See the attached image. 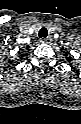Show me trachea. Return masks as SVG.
Segmentation results:
<instances>
[{
	"label": "trachea",
	"instance_id": "1",
	"mask_svg": "<svg viewBox=\"0 0 81 124\" xmlns=\"http://www.w3.org/2000/svg\"><path fill=\"white\" fill-rule=\"evenodd\" d=\"M48 35V31L46 28H41L40 31H39V37L40 38H46Z\"/></svg>",
	"mask_w": 81,
	"mask_h": 124
}]
</instances>
